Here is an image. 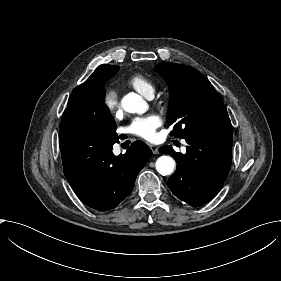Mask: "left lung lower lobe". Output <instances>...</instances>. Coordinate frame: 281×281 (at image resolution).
I'll use <instances>...</instances> for the list:
<instances>
[{
	"mask_svg": "<svg viewBox=\"0 0 281 281\" xmlns=\"http://www.w3.org/2000/svg\"><path fill=\"white\" fill-rule=\"evenodd\" d=\"M186 154L165 145L160 152L177 162L168 186L173 194L191 206L209 202L222 188L232 160V134H211L185 138Z\"/></svg>",
	"mask_w": 281,
	"mask_h": 281,
	"instance_id": "1",
	"label": "left lung lower lobe"
}]
</instances>
